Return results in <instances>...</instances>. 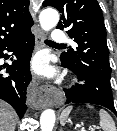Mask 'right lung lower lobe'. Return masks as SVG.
Instances as JSON below:
<instances>
[{
	"label": "right lung lower lobe",
	"instance_id": "98d812e1",
	"mask_svg": "<svg viewBox=\"0 0 117 131\" xmlns=\"http://www.w3.org/2000/svg\"><path fill=\"white\" fill-rule=\"evenodd\" d=\"M34 47L31 31L26 35L0 47V58L7 60V50L16 57L11 65H0V99L9 103L22 118L26 111V91L31 81L30 58ZM8 73L9 75L5 74Z\"/></svg>",
	"mask_w": 117,
	"mask_h": 131
}]
</instances>
